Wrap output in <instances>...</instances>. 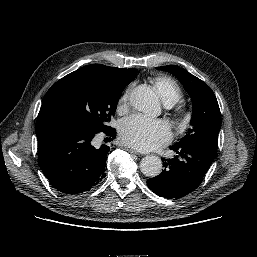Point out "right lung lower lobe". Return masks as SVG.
Masks as SVG:
<instances>
[{"label": "right lung lower lobe", "instance_id": "obj_1", "mask_svg": "<svg viewBox=\"0 0 257 257\" xmlns=\"http://www.w3.org/2000/svg\"><path fill=\"white\" fill-rule=\"evenodd\" d=\"M114 139L116 130L104 132ZM96 132L70 125L52 126L38 139V162L49 182L66 194L89 191L105 177L110 147L93 146Z\"/></svg>", "mask_w": 257, "mask_h": 257}]
</instances>
